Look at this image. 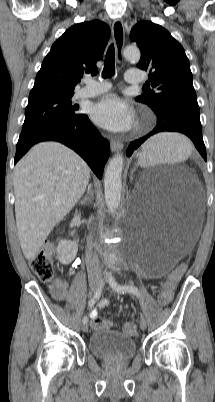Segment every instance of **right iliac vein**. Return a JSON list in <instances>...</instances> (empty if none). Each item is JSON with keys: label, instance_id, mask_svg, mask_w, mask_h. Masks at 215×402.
Returning <instances> with one entry per match:
<instances>
[{"label": "right iliac vein", "instance_id": "right-iliac-vein-1", "mask_svg": "<svg viewBox=\"0 0 215 402\" xmlns=\"http://www.w3.org/2000/svg\"><path fill=\"white\" fill-rule=\"evenodd\" d=\"M96 289H97V285H96V284H92V285H91V290H92V291H95ZM82 331H83V332H87V331H88V325H87V323H85V324L82 325Z\"/></svg>", "mask_w": 215, "mask_h": 402}]
</instances>
